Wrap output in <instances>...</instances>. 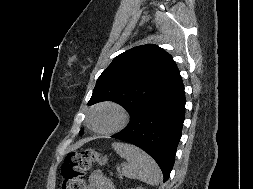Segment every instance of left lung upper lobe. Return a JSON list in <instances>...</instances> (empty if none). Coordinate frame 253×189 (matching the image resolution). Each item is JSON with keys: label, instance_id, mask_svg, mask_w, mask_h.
I'll list each match as a JSON object with an SVG mask.
<instances>
[{"label": "left lung upper lobe", "instance_id": "left-lung-upper-lobe-1", "mask_svg": "<svg viewBox=\"0 0 253 189\" xmlns=\"http://www.w3.org/2000/svg\"><path fill=\"white\" fill-rule=\"evenodd\" d=\"M179 77L177 65L164 49L153 44L134 47L115 57L99 76L88 105L113 101L132 117Z\"/></svg>", "mask_w": 253, "mask_h": 189}]
</instances>
